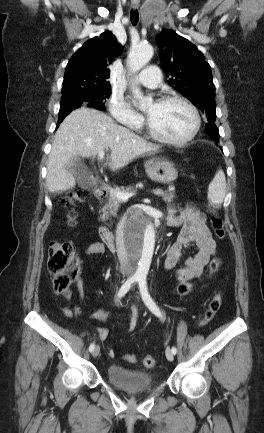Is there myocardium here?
Masks as SVG:
<instances>
[{"label": "myocardium", "instance_id": "obj_1", "mask_svg": "<svg viewBox=\"0 0 264 433\" xmlns=\"http://www.w3.org/2000/svg\"><path fill=\"white\" fill-rule=\"evenodd\" d=\"M159 104H168V103H180L187 107L190 112L193 115V127L191 131L183 138L181 139H171L166 136H163L162 134L158 133L154 127L151 125L149 119L146 120V128L148 134L155 140L165 143L172 146L182 147L187 145L190 141H192L196 135L198 134L201 126V116L199 114L198 109L187 99L177 96V95H171V96H165L158 100Z\"/></svg>", "mask_w": 264, "mask_h": 433}]
</instances>
